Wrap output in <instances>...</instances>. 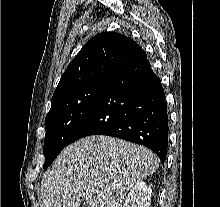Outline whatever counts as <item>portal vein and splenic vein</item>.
Segmentation results:
<instances>
[{
	"mask_svg": "<svg viewBox=\"0 0 220 207\" xmlns=\"http://www.w3.org/2000/svg\"><path fill=\"white\" fill-rule=\"evenodd\" d=\"M91 191L94 192L95 191L94 188H91Z\"/></svg>",
	"mask_w": 220,
	"mask_h": 207,
	"instance_id": "1",
	"label": "portal vein and splenic vein"
}]
</instances>
